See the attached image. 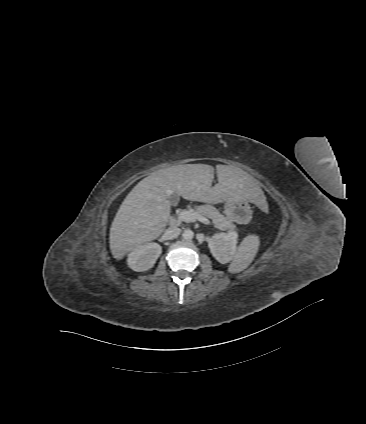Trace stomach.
<instances>
[{
  "mask_svg": "<svg viewBox=\"0 0 366 424\" xmlns=\"http://www.w3.org/2000/svg\"><path fill=\"white\" fill-rule=\"evenodd\" d=\"M242 211L251 212L248 200L235 199L226 201L224 213L227 218L231 219L232 221L241 222L242 217L240 213Z\"/></svg>",
  "mask_w": 366,
  "mask_h": 424,
  "instance_id": "stomach-1",
  "label": "stomach"
}]
</instances>
